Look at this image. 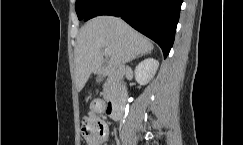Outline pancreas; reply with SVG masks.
<instances>
[{"mask_svg":"<svg viewBox=\"0 0 243 145\" xmlns=\"http://www.w3.org/2000/svg\"><path fill=\"white\" fill-rule=\"evenodd\" d=\"M115 90V83L111 76L108 77L107 82L104 85V95L105 97L111 92Z\"/></svg>","mask_w":243,"mask_h":145,"instance_id":"pancreas-1","label":"pancreas"}]
</instances>
